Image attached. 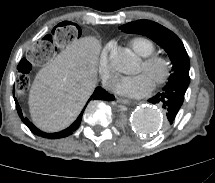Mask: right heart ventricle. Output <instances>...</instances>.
Wrapping results in <instances>:
<instances>
[{
  "label": "right heart ventricle",
  "mask_w": 215,
  "mask_h": 183,
  "mask_svg": "<svg viewBox=\"0 0 215 183\" xmlns=\"http://www.w3.org/2000/svg\"><path fill=\"white\" fill-rule=\"evenodd\" d=\"M132 50L141 57H146L155 51V44L146 37H133L129 40Z\"/></svg>",
  "instance_id": "right-heart-ventricle-1"
}]
</instances>
